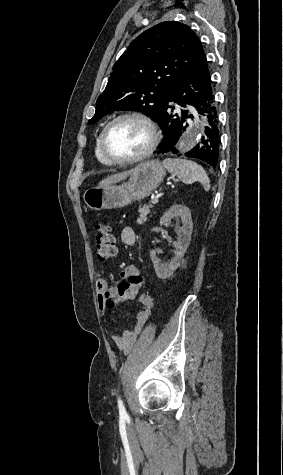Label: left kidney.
I'll return each instance as SVG.
<instances>
[{
    "instance_id": "left-kidney-1",
    "label": "left kidney",
    "mask_w": 283,
    "mask_h": 475,
    "mask_svg": "<svg viewBox=\"0 0 283 475\" xmlns=\"http://www.w3.org/2000/svg\"><path fill=\"white\" fill-rule=\"evenodd\" d=\"M173 218H176V220H181L183 224L177 241H173V245L175 247L174 257H172L169 263H160V259L156 255V251H154V249H151L150 251V257L153 261L155 271L158 277H161V279H167V277L173 275L175 269L181 265L182 257L191 241L193 222L189 208H187V206H181V204H175V206H171L170 210L163 214L160 220V226L171 224V220H173Z\"/></svg>"
}]
</instances>
